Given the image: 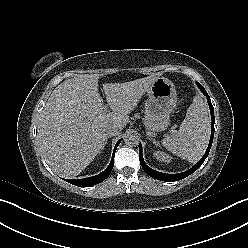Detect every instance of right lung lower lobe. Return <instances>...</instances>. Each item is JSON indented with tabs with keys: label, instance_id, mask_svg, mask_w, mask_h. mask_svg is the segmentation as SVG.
Segmentation results:
<instances>
[{
	"label": "right lung lower lobe",
	"instance_id": "right-lung-lower-lobe-1",
	"mask_svg": "<svg viewBox=\"0 0 248 248\" xmlns=\"http://www.w3.org/2000/svg\"><path fill=\"white\" fill-rule=\"evenodd\" d=\"M120 142H121V139L115 145L112 159H111L109 166L102 173H100L96 176L88 177V178H84V179H78V180L65 179V181H67L73 185L79 186V187H90V186L96 185V184L104 181L109 176V174L111 173V171L113 169L114 155H115L116 149L119 146Z\"/></svg>",
	"mask_w": 248,
	"mask_h": 248
}]
</instances>
